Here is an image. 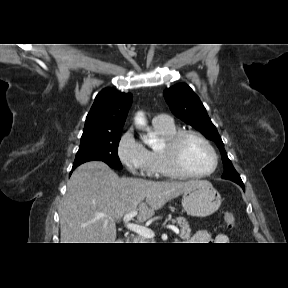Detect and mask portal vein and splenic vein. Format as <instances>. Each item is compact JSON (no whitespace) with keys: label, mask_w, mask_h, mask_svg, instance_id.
<instances>
[{"label":"portal vein and splenic vein","mask_w":288,"mask_h":288,"mask_svg":"<svg viewBox=\"0 0 288 288\" xmlns=\"http://www.w3.org/2000/svg\"><path fill=\"white\" fill-rule=\"evenodd\" d=\"M138 214L137 210H133L127 214L124 215L123 221L126 223V228L130 231H133L134 233H137L138 235L145 237V238H153L154 237V232L142 225L130 223L129 221L135 217ZM168 229L172 230L176 234H179V230L175 228L174 226L168 225Z\"/></svg>","instance_id":"1"}]
</instances>
